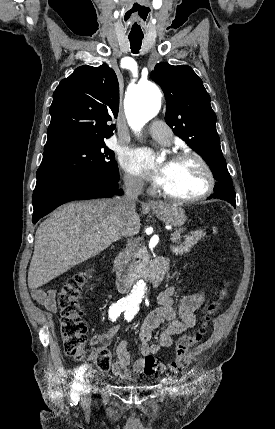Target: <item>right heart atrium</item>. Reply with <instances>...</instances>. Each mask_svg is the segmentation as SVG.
<instances>
[{
	"label": "right heart atrium",
	"mask_w": 275,
	"mask_h": 429,
	"mask_svg": "<svg viewBox=\"0 0 275 429\" xmlns=\"http://www.w3.org/2000/svg\"><path fill=\"white\" fill-rule=\"evenodd\" d=\"M124 182L125 185L133 191H139L143 187L142 181L131 173H125Z\"/></svg>",
	"instance_id": "right-heart-atrium-1"
}]
</instances>
